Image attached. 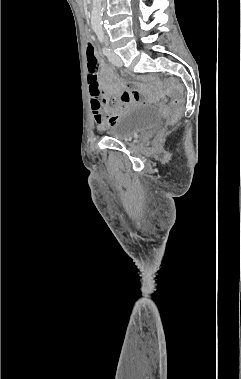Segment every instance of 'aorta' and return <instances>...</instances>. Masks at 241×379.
I'll use <instances>...</instances> for the list:
<instances>
[{"mask_svg": "<svg viewBox=\"0 0 241 379\" xmlns=\"http://www.w3.org/2000/svg\"><path fill=\"white\" fill-rule=\"evenodd\" d=\"M91 25L95 31H102V0H93Z\"/></svg>", "mask_w": 241, "mask_h": 379, "instance_id": "1", "label": "aorta"}]
</instances>
